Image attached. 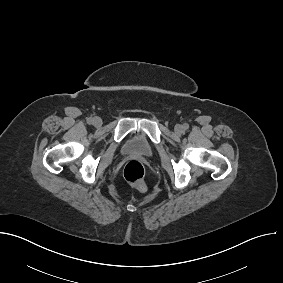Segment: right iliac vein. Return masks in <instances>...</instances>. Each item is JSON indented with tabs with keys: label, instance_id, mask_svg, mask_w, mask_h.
Listing matches in <instances>:
<instances>
[{
	"label": "right iliac vein",
	"instance_id": "right-iliac-vein-1",
	"mask_svg": "<svg viewBox=\"0 0 283 283\" xmlns=\"http://www.w3.org/2000/svg\"><path fill=\"white\" fill-rule=\"evenodd\" d=\"M93 125L96 127H100L102 125V120L99 117L93 118Z\"/></svg>",
	"mask_w": 283,
	"mask_h": 283
}]
</instances>
